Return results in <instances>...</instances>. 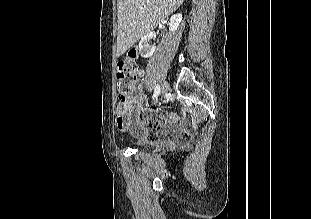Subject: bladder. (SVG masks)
<instances>
[{
  "label": "bladder",
  "instance_id": "obj_1",
  "mask_svg": "<svg viewBox=\"0 0 311 219\" xmlns=\"http://www.w3.org/2000/svg\"><path fill=\"white\" fill-rule=\"evenodd\" d=\"M140 148H148L150 144H138Z\"/></svg>",
  "mask_w": 311,
  "mask_h": 219
}]
</instances>
